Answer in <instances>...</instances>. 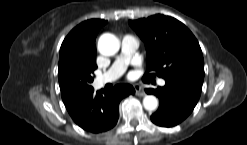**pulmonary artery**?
<instances>
[{
    "label": "pulmonary artery",
    "mask_w": 247,
    "mask_h": 145,
    "mask_svg": "<svg viewBox=\"0 0 247 145\" xmlns=\"http://www.w3.org/2000/svg\"><path fill=\"white\" fill-rule=\"evenodd\" d=\"M139 42L137 38L133 35L127 34L121 38V54L118 59L115 61L113 66L106 73L98 76L95 80L98 86H102L106 83L114 81L118 76L122 74L125 69V65L137 50ZM159 84L161 86L165 85V80L160 79Z\"/></svg>",
    "instance_id": "e3ab8cb5"
}]
</instances>
